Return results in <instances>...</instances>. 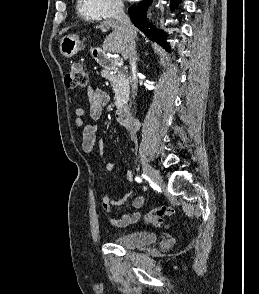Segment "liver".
Instances as JSON below:
<instances>
[{"label":"liver","instance_id":"6515ba94","mask_svg":"<svg viewBox=\"0 0 259 294\" xmlns=\"http://www.w3.org/2000/svg\"><path fill=\"white\" fill-rule=\"evenodd\" d=\"M102 32H107L112 29V32L106 37L103 42L102 49L104 52L120 53L124 60L129 58L127 39L124 31L115 20H105L97 26ZM138 30L135 29V38L137 37Z\"/></svg>","mask_w":259,"mask_h":294}]
</instances>
